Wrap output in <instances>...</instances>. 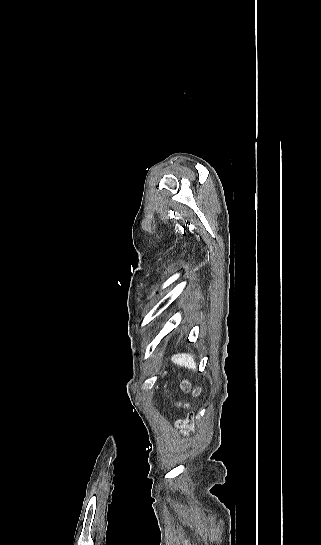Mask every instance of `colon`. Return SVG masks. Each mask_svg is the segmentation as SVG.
Instances as JSON below:
<instances>
[{
  "label": "colon",
  "mask_w": 321,
  "mask_h": 545,
  "mask_svg": "<svg viewBox=\"0 0 321 545\" xmlns=\"http://www.w3.org/2000/svg\"><path fill=\"white\" fill-rule=\"evenodd\" d=\"M193 421H194V418L192 415H190L184 420L177 421L176 427L180 429L191 428L193 426Z\"/></svg>",
  "instance_id": "obj_1"
}]
</instances>
